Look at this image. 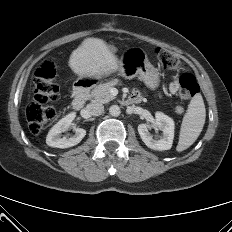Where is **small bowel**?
Segmentation results:
<instances>
[{
  "mask_svg": "<svg viewBox=\"0 0 232 232\" xmlns=\"http://www.w3.org/2000/svg\"><path fill=\"white\" fill-rule=\"evenodd\" d=\"M179 89V84H178V81L177 80H173L171 83H170V91L172 93H175L177 92ZM133 98H138V99H141V93L139 90H135L133 95H132Z\"/></svg>",
  "mask_w": 232,
  "mask_h": 232,
  "instance_id": "small-bowel-1",
  "label": "small bowel"
}]
</instances>
